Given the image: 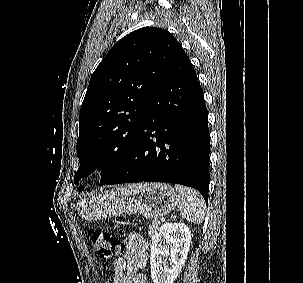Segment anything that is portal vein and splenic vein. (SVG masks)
<instances>
[{
	"instance_id": "18ae733b",
	"label": "portal vein and splenic vein",
	"mask_w": 303,
	"mask_h": 283,
	"mask_svg": "<svg viewBox=\"0 0 303 283\" xmlns=\"http://www.w3.org/2000/svg\"><path fill=\"white\" fill-rule=\"evenodd\" d=\"M164 221H165V219L163 218V219H161V221L155 220L154 222L160 224V222H164Z\"/></svg>"
}]
</instances>
